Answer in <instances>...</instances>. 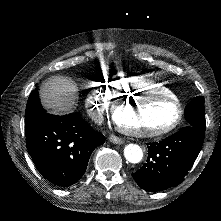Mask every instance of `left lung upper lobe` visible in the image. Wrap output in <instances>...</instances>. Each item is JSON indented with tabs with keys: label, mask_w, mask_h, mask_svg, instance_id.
I'll return each mask as SVG.
<instances>
[{
	"label": "left lung upper lobe",
	"mask_w": 221,
	"mask_h": 221,
	"mask_svg": "<svg viewBox=\"0 0 221 221\" xmlns=\"http://www.w3.org/2000/svg\"><path fill=\"white\" fill-rule=\"evenodd\" d=\"M185 117L190 126L205 131L204 97L198 96L188 103L185 108Z\"/></svg>",
	"instance_id": "left-lung-upper-lobe-1"
}]
</instances>
